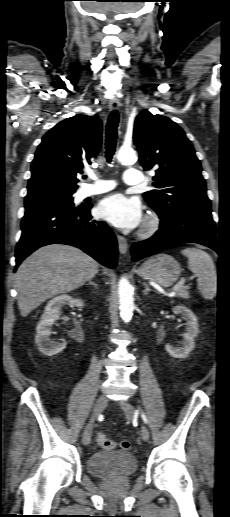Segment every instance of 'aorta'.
<instances>
[{
    "mask_svg": "<svg viewBox=\"0 0 230 517\" xmlns=\"http://www.w3.org/2000/svg\"><path fill=\"white\" fill-rule=\"evenodd\" d=\"M117 160L121 163H134L136 161V153L131 148H121L117 153ZM118 295L121 318L125 322H129L133 315L134 298L133 288L125 277L119 280Z\"/></svg>",
    "mask_w": 230,
    "mask_h": 517,
    "instance_id": "aorta-1",
    "label": "aorta"
}]
</instances>
